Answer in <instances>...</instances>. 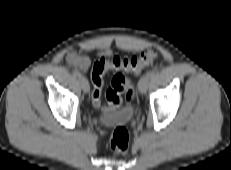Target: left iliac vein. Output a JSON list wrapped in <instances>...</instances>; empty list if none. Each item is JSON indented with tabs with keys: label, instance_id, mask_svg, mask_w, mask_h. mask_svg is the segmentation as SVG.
<instances>
[{
	"label": "left iliac vein",
	"instance_id": "obj_1",
	"mask_svg": "<svg viewBox=\"0 0 231 170\" xmlns=\"http://www.w3.org/2000/svg\"><path fill=\"white\" fill-rule=\"evenodd\" d=\"M150 82V78L148 76H143L138 84L139 91L144 94L147 91L148 85Z\"/></svg>",
	"mask_w": 231,
	"mask_h": 170
}]
</instances>
